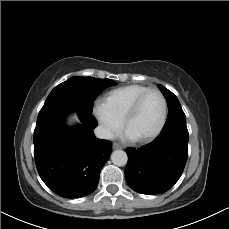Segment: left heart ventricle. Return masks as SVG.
Wrapping results in <instances>:
<instances>
[{
  "label": "left heart ventricle",
  "instance_id": "1",
  "mask_svg": "<svg viewBox=\"0 0 229 229\" xmlns=\"http://www.w3.org/2000/svg\"><path fill=\"white\" fill-rule=\"evenodd\" d=\"M163 113L161 97L157 93L147 95L126 128V135L140 138L152 133L160 124Z\"/></svg>",
  "mask_w": 229,
  "mask_h": 229
}]
</instances>
